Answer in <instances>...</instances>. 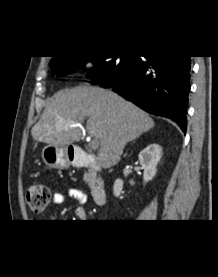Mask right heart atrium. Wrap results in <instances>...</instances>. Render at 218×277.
<instances>
[{"label":"right heart atrium","mask_w":218,"mask_h":277,"mask_svg":"<svg viewBox=\"0 0 218 277\" xmlns=\"http://www.w3.org/2000/svg\"><path fill=\"white\" fill-rule=\"evenodd\" d=\"M84 67H85V68H90V67H92V63H91V62H86V63L84 64Z\"/></svg>","instance_id":"1"}]
</instances>
